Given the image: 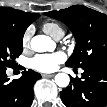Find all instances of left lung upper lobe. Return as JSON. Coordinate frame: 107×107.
<instances>
[{
  "mask_svg": "<svg viewBox=\"0 0 107 107\" xmlns=\"http://www.w3.org/2000/svg\"><path fill=\"white\" fill-rule=\"evenodd\" d=\"M45 15L65 23L75 36L76 47L66 66L107 63V15L81 5Z\"/></svg>",
  "mask_w": 107,
  "mask_h": 107,
  "instance_id": "obj_1",
  "label": "left lung upper lobe"
}]
</instances>
